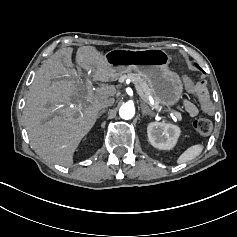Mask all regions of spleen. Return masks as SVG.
<instances>
[{"mask_svg": "<svg viewBox=\"0 0 237 237\" xmlns=\"http://www.w3.org/2000/svg\"><path fill=\"white\" fill-rule=\"evenodd\" d=\"M203 144H194L184 150L176 159L177 164H185L196 159L203 151Z\"/></svg>", "mask_w": 237, "mask_h": 237, "instance_id": "obj_1", "label": "spleen"}]
</instances>
